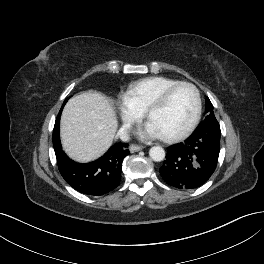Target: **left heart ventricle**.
Wrapping results in <instances>:
<instances>
[{
    "label": "left heart ventricle",
    "mask_w": 264,
    "mask_h": 264,
    "mask_svg": "<svg viewBox=\"0 0 264 264\" xmlns=\"http://www.w3.org/2000/svg\"><path fill=\"white\" fill-rule=\"evenodd\" d=\"M196 110V100L190 87L176 89L167 104L155 111L150 119L151 124L160 136H171L183 131L191 122Z\"/></svg>",
    "instance_id": "obj_1"
}]
</instances>
